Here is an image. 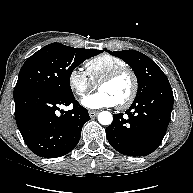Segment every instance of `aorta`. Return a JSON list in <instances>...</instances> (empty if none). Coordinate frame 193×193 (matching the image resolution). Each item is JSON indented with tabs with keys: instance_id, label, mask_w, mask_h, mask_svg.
I'll return each instance as SVG.
<instances>
[{
	"instance_id": "762f6f07",
	"label": "aorta",
	"mask_w": 193,
	"mask_h": 193,
	"mask_svg": "<svg viewBox=\"0 0 193 193\" xmlns=\"http://www.w3.org/2000/svg\"><path fill=\"white\" fill-rule=\"evenodd\" d=\"M98 121L102 125H110L113 121V116L108 111H102L98 115Z\"/></svg>"
}]
</instances>
